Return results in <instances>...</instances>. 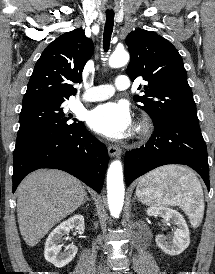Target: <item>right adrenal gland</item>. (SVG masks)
Here are the masks:
<instances>
[{
    "label": "right adrenal gland",
    "mask_w": 215,
    "mask_h": 274,
    "mask_svg": "<svg viewBox=\"0 0 215 274\" xmlns=\"http://www.w3.org/2000/svg\"><path fill=\"white\" fill-rule=\"evenodd\" d=\"M86 201H90L89 197L87 196V193H85V198L82 202V205H84Z\"/></svg>",
    "instance_id": "2a0ac1e0"
}]
</instances>
